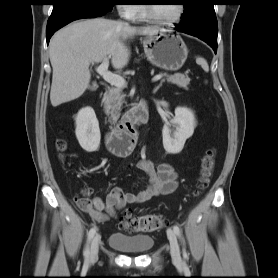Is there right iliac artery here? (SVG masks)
<instances>
[{
  "mask_svg": "<svg viewBox=\"0 0 278 278\" xmlns=\"http://www.w3.org/2000/svg\"><path fill=\"white\" fill-rule=\"evenodd\" d=\"M96 233V227H92L90 229V231L88 232V239H87V245H86V248L84 250V256L86 259H88L89 257V254H90V251H89V243L90 241L92 240L93 236L95 235Z\"/></svg>",
  "mask_w": 278,
  "mask_h": 278,
  "instance_id": "82829eb1",
  "label": "right iliac artery"
}]
</instances>
